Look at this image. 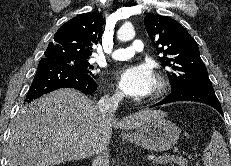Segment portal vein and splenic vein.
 I'll use <instances>...</instances> for the list:
<instances>
[{
	"instance_id": "obj_1",
	"label": "portal vein and splenic vein",
	"mask_w": 231,
	"mask_h": 166,
	"mask_svg": "<svg viewBox=\"0 0 231 166\" xmlns=\"http://www.w3.org/2000/svg\"><path fill=\"white\" fill-rule=\"evenodd\" d=\"M168 156H162V157H149L148 159L149 160H152V161H158L159 159H162V158H166ZM170 159H175L177 161L178 164H180L181 166H185L188 162V160L184 157H181V156H175V155H172L170 156Z\"/></svg>"
}]
</instances>
